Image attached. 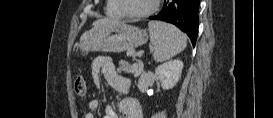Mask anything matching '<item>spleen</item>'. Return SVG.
<instances>
[{"instance_id": "3e777b00", "label": "spleen", "mask_w": 273, "mask_h": 118, "mask_svg": "<svg viewBox=\"0 0 273 118\" xmlns=\"http://www.w3.org/2000/svg\"><path fill=\"white\" fill-rule=\"evenodd\" d=\"M148 26L155 61L169 60L186 48V36L175 26L159 21H151Z\"/></svg>"}]
</instances>
